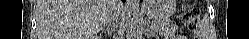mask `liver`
I'll return each instance as SVG.
<instances>
[{"label":"liver","mask_w":249,"mask_h":39,"mask_svg":"<svg viewBox=\"0 0 249 39\" xmlns=\"http://www.w3.org/2000/svg\"><path fill=\"white\" fill-rule=\"evenodd\" d=\"M115 0H39L37 34L39 39H96Z\"/></svg>","instance_id":"liver-1"}]
</instances>
